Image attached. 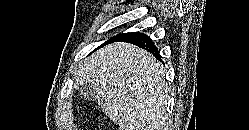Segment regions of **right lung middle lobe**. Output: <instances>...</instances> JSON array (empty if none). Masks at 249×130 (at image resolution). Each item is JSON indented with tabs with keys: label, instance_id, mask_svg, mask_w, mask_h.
Returning a JSON list of instances; mask_svg holds the SVG:
<instances>
[{
	"label": "right lung middle lobe",
	"instance_id": "dd1d6c3e",
	"mask_svg": "<svg viewBox=\"0 0 249 130\" xmlns=\"http://www.w3.org/2000/svg\"><path fill=\"white\" fill-rule=\"evenodd\" d=\"M124 34H127V33H124ZM124 34H119V35L113 37L112 39H110L109 41H112V40H114V39H116V38H118V37H120V36H122V35H124ZM109 41H108V42H109ZM106 43H107V42H106Z\"/></svg>",
	"mask_w": 249,
	"mask_h": 130
}]
</instances>
